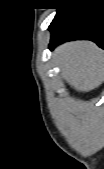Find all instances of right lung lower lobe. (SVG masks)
I'll return each instance as SVG.
<instances>
[{"mask_svg": "<svg viewBox=\"0 0 104 169\" xmlns=\"http://www.w3.org/2000/svg\"><path fill=\"white\" fill-rule=\"evenodd\" d=\"M49 29L51 50L69 40H91L104 48V8L95 0L70 3L56 14Z\"/></svg>", "mask_w": 104, "mask_h": 169, "instance_id": "1", "label": "right lung lower lobe"}]
</instances>
